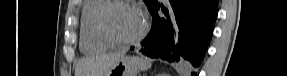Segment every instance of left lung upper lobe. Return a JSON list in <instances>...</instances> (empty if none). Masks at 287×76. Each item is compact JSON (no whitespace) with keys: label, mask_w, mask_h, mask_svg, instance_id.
<instances>
[{"label":"left lung upper lobe","mask_w":287,"mask_h":76,"mask_svg":"<svg viewBox=\"0 0 287 76\" xmlns=\"http://www.w3.org/2000/svg\"><path fill=\"white\" fill-rule=\"evenodd\" d=\"M143 1L145 2L149 10L157 3V0H143Z\"/></svg>","instance_id":"obj_1"}]
</instances>
